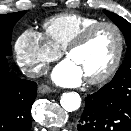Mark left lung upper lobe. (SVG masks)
I'll list each match as a JSON object with an SVG mask.
<instances>
[{
  "label": "left lung upper lobe",
  "instance_id": "left-lung-upper-lobe-1",
  "mask_svg": "<svg viewBox=\"0 0 131 131\" xmlns=\"http://www.w3.org/2000/svg\"><path fill=\"white\" fill-rule=\"evenodd\" d=\"M104 13L119 27L122 31L126 44L128 46L125 60L123 64L118 69L117 73L115 74L113 80L115 79H122L126 77H131V24L126 21L124 18L104 10Z\"/></svg>",
  "mask_w": 131,
  "mask_h": 131
}]
</instances>
